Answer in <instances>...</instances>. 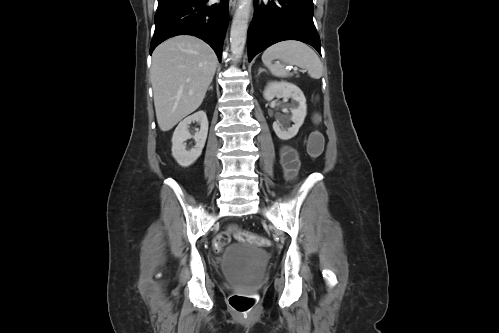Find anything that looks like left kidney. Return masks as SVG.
Instances as JSON below:
<instances>
[{"mask_svg":"<svg viewBox=\"0 0 499 333\" xmlns=\"http://www.w3.org/2000/svg\"><path fill=\"white\" fill-rule=\"evenodd\" d=\"M263 96L267 101L275 97L287 100L291 98L293 103L290 108L291 117H282L273 123V130L276 135L282 140L293 138L302 126L307 114L306 98L299 87L288 82H271L267 85L263 92ZM289 121L293 125H289Z\"/></svg>","mask_w":499,"mask_h":333,"instance_id":"1","label":"left kidney"}]
</instances>
